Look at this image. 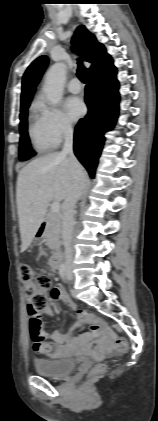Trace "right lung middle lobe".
Masks as SVG:
<instances>
[{
	"mask_svg": "<svg viewBox=\"0 0 158 421\" xmlns=\"http://www.w3.org/2000/svg\"><path fill=\"white\" fill-rule=\"evenodd\" d=\"M30 103L21 105L20 110V147L19 159L24 161L35 155L30 146V140L27 133V109Z\"/></svg>",
	"mask_w": 158,
	"mask_h": 421,
	"instance_id": "right-lung-middle-lobe-1",
	"label": "right lung middle lobe"
}]
</instances>
